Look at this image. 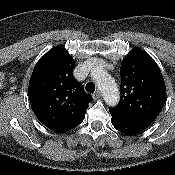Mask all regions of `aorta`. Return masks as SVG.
I'll use <instances>...</instances> for the list:
<instances>
[{"mask_svg":"<svg viewBox=\"0 0 175 175\" xmlns=\"http://www.w3.org/2000/svg\"><path fill=\"white\" fill-rule=\"evenodd\" d=\"M91 75L98 88L101 90L107 105H117L119 102V89L114 79L102 67L93 68Z\"/></svg>","mask_w":175,"mask_h":175,"instance_id":"obj_1","label":"aorta"}]
</instances>
